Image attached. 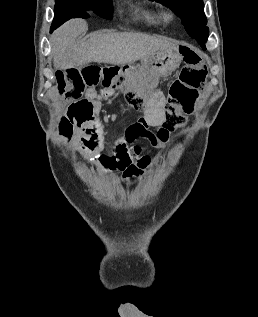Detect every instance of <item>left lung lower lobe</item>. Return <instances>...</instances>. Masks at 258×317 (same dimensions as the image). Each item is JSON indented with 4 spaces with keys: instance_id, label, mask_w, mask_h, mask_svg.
<instances>
[{
    "instance_id": "obj_1",
    "label": "left lung lower lobe",
    "mask_w": 258,
    "mask_h": 317,
    "mask_svg": "<svg viewBox=\"0 0 258 317\" xmlns=\"http://www.w3.org/2000/svg\"><path fill=\"white\" fill-rule=\"evenodd\" d=\"M194 38L198 41V43L202 46L203 49H206L205 43H206V41L208 39V36H205V37L198 36V37H194Z\"/></svg>"
}]
</instances>
